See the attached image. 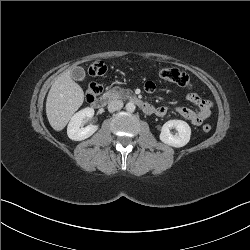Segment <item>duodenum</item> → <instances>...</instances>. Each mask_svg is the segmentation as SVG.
Wrapping results in <instances>:
<instances>
[{
	"label": "duodenum",
	"instance_id": "duodenum-1",
	"mask_svg": "<svg viewBox=\"0 0 250 250\" xmlns=\"http://www.w3.org/2000/svg\"><path fill=\"white\" fill-rule=\"evenodd\" d=\"M113 99H114V96L111 93H105L97 97L93 101V106L95 108H103ZM128 99L131 102L135 103L146 114H154L156 112V109L151 104L147 103L146 101L140 99L139 97L135 95H129Z\"/></svg>",
	"mask_w": 250,
	"mask_h": 250
}]
</instances>
